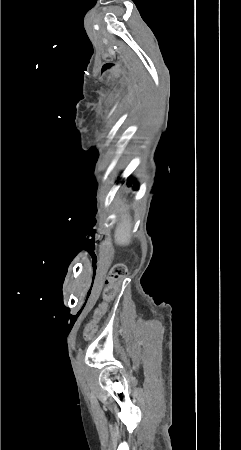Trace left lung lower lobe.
Here are the masks:
<instances>
[{
  "mask_svg": "<svg viewBox=\"0 0 241 450\" xmlns=\"http://www.w3.org/2000/svg\"><path fill=\"white\" fill-rule=\"evenodd\" d=\"M132 184H134V185H133V189H134V190H138V185H137V183L135 182V180H134L133 178L129 177V178H128V181H127V185H128V186H131Z\"/></svg>",
  "mask_w": 241,
  "mask_h": 450,
  "instance_id": "1",
  "label": "left lung lower lobe"
}]
</instances>
